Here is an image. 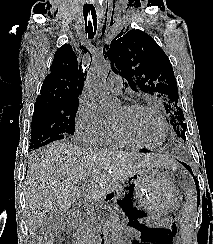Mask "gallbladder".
I'll return each mask as SVG.
<instances>
[{
    "instance_id": "obj_1",
    "label": "gallbladder",
    "mask_w": 213,
    "mask_h": 244,
    "mask_svg": "<svg viewBox=\"0 0 213 244\" xmlns=\"http://www.w3.org/2000/svg\"><path fill=\"white\" fill-rule=\"evenodd\" d=\"M67 224V216L65 213H61L57 210L49 211L40 227L42 233H61Z\"/></svg>"
}]
</instances>
